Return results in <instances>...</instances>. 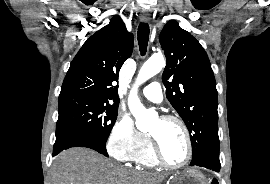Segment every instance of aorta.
I'll return each mask as SVG.
<instances>
[{
  "mask_svg": "<svg viewBox=\"0 0 270 184\" xmlns=\"http://www.w3.org/2000/svg\"><path fill=\"white\" fill-rule=\"evenodd\" d=\"M164 64L165 60L162 54L152 55L141 67L136 83L130 92L128 106L136 119V127L141 131L149 129L151 122L157 118V113L145 109L137 96V88L140 84L158 74L162 70Z\"/></svg>",
  "mask_w": 270,
  "mask_h": 184,
  "instance_id": "aorta-1",
  "label": "aorta"
}]
</instances>
